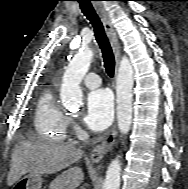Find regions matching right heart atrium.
<instances>
[{
    "mask_svg": "<svg viewBox=\"0 0 188 189\" xmlns=\"http://www.w3.org/2000/svg\"><path fill=\"white\" fill-rule=\"evenodd\" d=\"M70 123H71V124H74L73 120H70Z\"/></svg>",
    "mask_w": 188,
    "mask_h": 189,
    "instance_id": "obj_1",
    "label": "right heart atrium"
}]
</instances>
